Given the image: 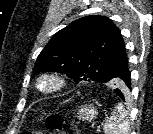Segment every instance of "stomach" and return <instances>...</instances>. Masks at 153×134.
Masks as SVG:
<instances>
[{
  "label": "stomach",
  "instance_id": "stomach-1",
  "mask_svg": "<svg viewBox=\"0 0 153 134\" xmlns=\"http://www.w3.org/2000/svg\"><path fill=\"white\" fill-rule=\"evenodd\" d=\"M98 115V111L93 105H84L77 111V117L82 121L91 122Z\"/></svg>",
  "mask_w": 153,
  "mask_h": 134
}]
</instances>
